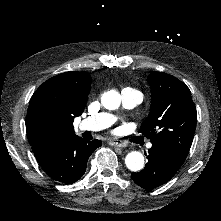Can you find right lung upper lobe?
Instances as JSON below:
<instances>
[{
  "label": "right lung upper lobe",
  "mask_w": 221,
  "mask_h": 221,
  "mask_svg": "<svg viewBox=\"0 0 221 221\" xmlns=\"http://www.w3.org/2000/svg\"><path fill=\"white\" fill-rule=\"evenodd\" d=\"M91 88L85 71H70L45 81L31 97L26 131L35 157L76 136L74 118L84 111Z\"/></svg>",
  "instance_id": "1"
}]
</instances>
